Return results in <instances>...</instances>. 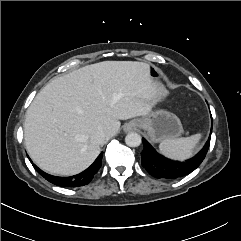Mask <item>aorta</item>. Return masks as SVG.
Segmentation results:
<instances>
[{"instance_id": "762f6f07", "label": "aorta", "mask_w": 241, "mask_h": 241, "mask_svg": "<svg viewBox=\"0 0 241 241\" xmlns=\"http://www.w3.org/2000/svg\"><path fill=\"white\" fill-rule=\"evenodd\" d=\"M141 136L138 133H129L125 137V143L129 147H138L141 144Z\"/></svg>"}]
</instances>
